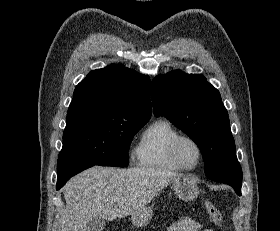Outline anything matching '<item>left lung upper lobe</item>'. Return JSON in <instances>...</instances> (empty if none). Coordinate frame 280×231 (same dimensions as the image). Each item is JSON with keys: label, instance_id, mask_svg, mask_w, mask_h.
Segmentation results:
<instances>
[{"label": "left lung upper lobe", "instance_id": "5c2ea615", "mask_svg": "<svg viewBox=\"0 0 280 231\" xmlns=\"http://www.w3.org/2000/svg\"><path fill=\"white\" fill-rule=\"evenodd\" d=\"M152 100L155 115L165 116L197 144L207 177L238 163L227 110L203 75H159L152 81Z\"/></svg>", "mask_w": 280, "mask_h": 231}]
</instances>
